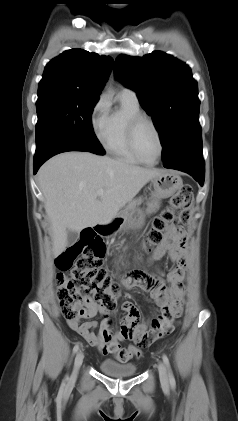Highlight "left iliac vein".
<instances>
[{
	"label": "left iliac vein",
	"instance_id": "left-iliac-vein-1",
	"mask_svg": "<svg viewBox=\"0 0 238 421\" xmlns=\"http://www.w3.org/2000/svg\"><path fill=\"white\" fill-rule=\"evenodd\" d=\"M158 371H159L161 384L167 387L169 385V378H168L166 366L163 362H159Z\"/></svg>",
	"mask_w": 238,
	"mask_h": 421
}]
</instances>
